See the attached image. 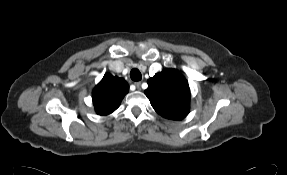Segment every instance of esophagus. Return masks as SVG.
Returning a JSON list of instances; mask_svg holds the SVG:
<instances>
[{"instance_id": "obj_1", "label": "esophagus", "mask_w": 287, "mask_h": 175, "mask_svg": "<svg viewBox=\"0 0 287 175\" xmlns=\"http://www.w3.org/2000/svg\"><path fill=\"white\" fill-rule=\"evenodd\" d=\"M134 84L138 90L141 89V82H135Z\"/></svg>"}]
</instances>
